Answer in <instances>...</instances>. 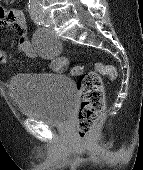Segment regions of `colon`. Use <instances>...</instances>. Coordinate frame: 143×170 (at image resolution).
<instances>
[{"instance_id": "1", "label": "colon", "mask_w": 143, "mask_h": 170, "mask_svg": "<svg viewBox=\"0 0 143 170\" xmlns=\"http://www.w3.org/2000/svg\"><path fill=\"white\" fill-rule=\"evenodd\" d=\"M59 63V72H62L66 69L67 60L61 57ZM71 75L78 78L77 87L81 97L77 133L81 140H88L91 131L101 120L105 108L103 78L114 80L117 73L113 66L97 61L89 71L80 65L73 67Z\"/></svg>"}]
</instances>
